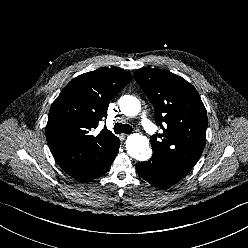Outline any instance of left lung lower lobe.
Instances as JSON below:
<instances>
[{"mask_svg":"<svg viewBox=\"0 0 248 248\" xmlns=\"http://www.w3.org/2000/svg\"><path fill=\"white\" fill-rule=\"evenodd\" d=\"M136 170L140 177L159 188L173 185L186 176L155 155L147 162L137 163Z\"/></svg>","mask_w":248,"mask_h":248,"instance_id":"0a47b994","label":"left lung lower lobe"}]
</instances>
